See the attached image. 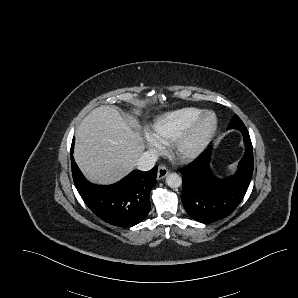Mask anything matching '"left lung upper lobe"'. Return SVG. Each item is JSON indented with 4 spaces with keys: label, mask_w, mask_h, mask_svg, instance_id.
<instances>
[{
    "label": "left lung upper lobe",
    "mask_w": 298,
    "mask_h": 298,
    "mask_svg": "<svg viewBox=\"0 0 298 298\" xmlns=\"http://www.w3.org/2000/svg\"><path fill=\"white\" fill-rule=\"evenodd\" d=\"M240 127H244V124L237 115H234L233 118L231 119L227 129H233V128L237 129Z\"/></svg>",
    "instance_id": "5c2ea615"
}]
</instances>
